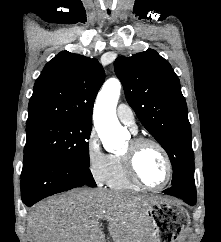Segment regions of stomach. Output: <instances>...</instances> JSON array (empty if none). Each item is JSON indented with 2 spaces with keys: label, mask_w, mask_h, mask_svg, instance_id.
<instances>
[{
  "label": "stomach",
  "mask_w": 221,
  "mask_h": 242,
  "mask_svg": "<svg viewBox=\"0 0 221 242\" xmlns=\"http://www.w3.org/2000/svg\"><path fill=\"white\" fill-rule=\"evenodd\" d=\"M153 229L152 242H176L189 227L186 210L170 199H161L146 209Z\"/></svg>",
  "instance_id": "stomach-1"
}]
</instances>
